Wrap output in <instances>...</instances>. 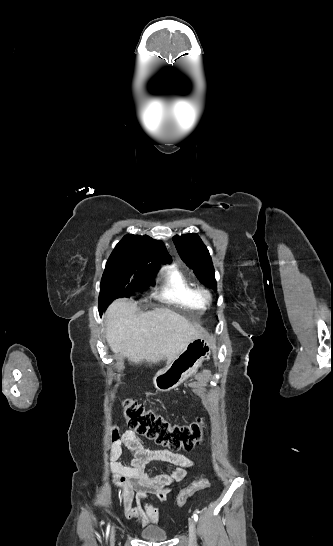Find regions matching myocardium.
Listing matches in <instances>:
<instances>
[{"instance_id": "f54148a6", "label": "myocardium", "mask_w": 333, "mask_h": 546, "mask_svg": "<svg viewBox=\"0 0 333 546\" xmlns=\"http://www.w3.org/2000/svg\"><path fill=\"white\" fill-rule=\"evenodd\" d=\"M198 291H199V294H200L201 298L205 301V303L206 302L208 303V302L211 301L212 294H211L210 290H208L205 287H199Z\"/></svg>"}]
</instances>
